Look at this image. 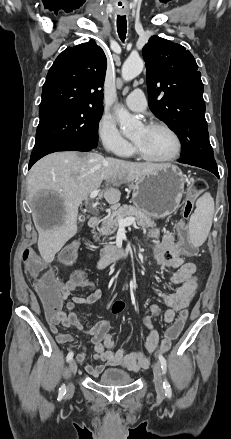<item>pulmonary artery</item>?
<instances>
[{
  "label": "pulmonary artery",
  "mask_w": 231,
  "mask_h": 439,
  "mask_svg": "<svg viewBox=\"0 0 231 439\" xmlns=\"http://www.w3.org/2000/svg\"><path fill=\"white\" fill-rule=\"evenodd\" d=\"M128 108L134 112H143L147 107L144 93L140 89H135L125 98Z\"/></svg>",
  "instance_id": "obj_1"
}]
</instances>
